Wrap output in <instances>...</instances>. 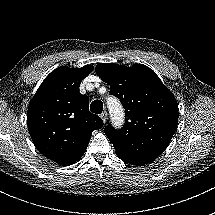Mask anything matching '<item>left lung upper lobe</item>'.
Returning <instances> with one entry per match:
<instances>
[{
    "label": "left lung upper lobe",
    "mask_w": 215,
    "mask_h": 215,
    "mask_svg": "<svg viewBox=\"0 0 215 215\" xmlns=\"http://www.w3.org/2000/svg\"><path fill=\"white\" fill-rule=\"evenodd\" d=\"M98 76L110 85V94L120 99L125 123L120 130L110 124L106 136L116 153L134 158H157L168 146L178 124V104L174 95L149 67H125L99 63Z\"/></svg>",
    "instance_id": "obj_1"
}]
</instances>
